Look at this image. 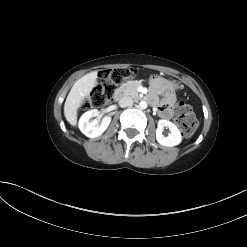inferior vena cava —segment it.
<instances>
[{"label":"inferior vena cava","instance_id":"602c4592","mask_svg":"<svg viewBox=\"0 0 247 247\" xmlns=\"http://www.w3.org/2000/svg\"><path fill=\"white\" fill-rule=\"evenodd\" d=\"M133 99L130 96H123L120 100H119V106L124 108V107H128L131 106L133 104Z\"/></svg>","mask_w":247,"mask_h":247}]
</instances>
